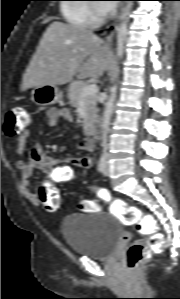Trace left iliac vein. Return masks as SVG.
<instances>
[{"mask_svg": "<svg viewBox=\"0 0 180 299\" xmlns=\"http://www.w3.org/2000/svg\"><path fill=\"white\" fill-rule=\"evenodd\" d=\"M104 174H105V175H108V174H109V164H108V162H106L105 170H104Z\"/></svg>", "mask_w": 180, "mask_h": 299, "instance_id": "left-iliac-vein-1", "label": "left iliac vein"}]
</instances>
